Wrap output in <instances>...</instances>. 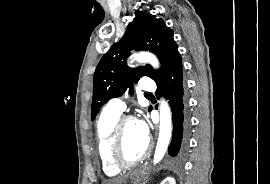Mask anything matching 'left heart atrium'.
Returning <instances> with one entry per match:
<instances>
[{
    "label": "left heart atrium",
    "mask_w": 270,
    "mask_h": 184,
    "mask_svg": "<svg viewBox=\"0 0 270 184\" xmlns=\"http://www.w3.org/2000/svg\"><path fill=\"white\" fill-rule=\"evenodd\" d=\"M137 124H138V127L141 131V133L146 137L148 138L149 137V127L147 125V123L140 119V120H137Z\"/></svg>",
    "instance_id": "left-heart-atrium-1"
}]
</instances>
